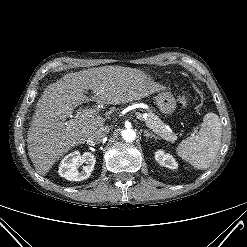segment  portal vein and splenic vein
I'll use <instances>...</instances> for the list:
<instances>
[{
    "label": "portal vein and splenic vein",
    "instance_id": "portal-vein-and-splenic-vein-1",
    "mask_svg": "<svg viewBox=\"0 0 247 247\" xmlns=\"http://www.w3.org/2000/svg\"><path fill=\"white\" fill-rule=\"evenodd\" d=\"M96 113H97V110L94 108L82 110V112L76 117L75 121H82L86 118L96 115ZM135 115L140 120L144 119V116L140 112H136Z\"/></svg>",
    "mask_w": 247,
    "mask_h": 247
}]
</instances>
